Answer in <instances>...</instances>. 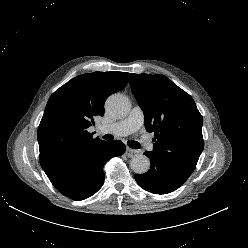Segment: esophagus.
<instances>
[{
  "mask_svg": "<svg viewBox=\"0 0 248 248\" xmlns=\"http://www.w3.org/2000/svg\"><path fill=\"white\" fill-rule=\"evenodd\" d=\"M126 153H127V155L129 157H132V156H134V155H136L138 153V150L127 148L126 149Z\"/></svg>",
  "mask_w": 248,
  "mask_h": 248,
  "instance_id": "34e87169",
  "label": "esophagus"
}]
</instances>
